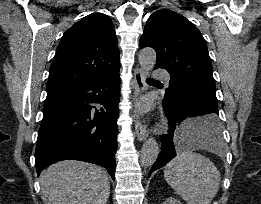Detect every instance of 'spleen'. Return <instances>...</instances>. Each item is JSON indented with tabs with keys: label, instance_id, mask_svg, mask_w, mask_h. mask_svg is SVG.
I'll return each instance as SVG.
<instances>
[{
	"label": "spleen",
	"instance_id": "obj_1",
	"mask_svg": "<svg viewBox=\"0 0 261 204\" xmlns=\"http://www.w3.org/2000/svg\"><path fill=\"white\" fill-rule=\"evenodd\" d=\"M207 117L187 120L182 123L180 131L187 132L191 148L214 150L218 140L196 137L195 128ZM164 177L170 187L187 204H210L218 192L220 172L206 157L194 153L190 148L178 152L177 156L165 167Z\"/></svg>",
	"mask_w": 261,
	"mask_h": 204
}]
</instances>
